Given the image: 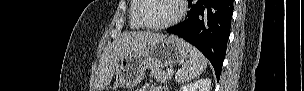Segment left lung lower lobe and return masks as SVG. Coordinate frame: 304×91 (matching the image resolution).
Here are the masks:
<instances>
[{
    "label": "left lung lower lobe",
    "mask_w": 304,
    "mask_h": 91,
    "mask_svg": "<svg viewBox=\"0 0 304 91\" xmlns=\"http://www.w3.org/2000/svg\"><path fill=\"white\" fill-rule=\"evenodd\" d=\"M187 18L167 32L178 35L199 49L220 78L231 28L233 0H188Z\"/></svg>",
    "instance_id": "left-lung-lower-lobe-1"
}]
</instances>
